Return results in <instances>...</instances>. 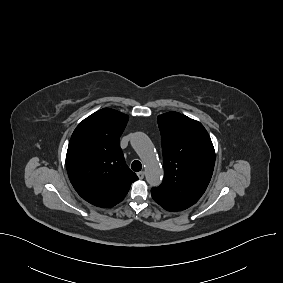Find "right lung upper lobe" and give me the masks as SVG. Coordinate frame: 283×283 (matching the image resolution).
<instances>
[{"instance_id": "1", "label": "right lung upper lobe", "mask_w": 283, "mask_h": 283, "mask_svg": "<svg viewBox=\"0 0 283 283\" xmlns=\"http://www.w3.org/2000/svg\"><path fill=\"white\" fill-rule=\"evenodd\" d=\"M128 115L104 108L74 130L66 154V168L77 193L92 205L110 208L121 202L138 180L125 163L120 136Z\"/></svg>"}]
</instances>
